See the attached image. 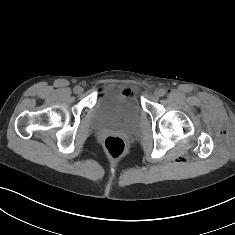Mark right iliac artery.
Masks as SVG:
<instances>
[{"mask_svg": "<svg viewBox=\"0 0 235 235\" xmlns=\"http://www.w3.org/2000/svg\"><path fill=\"white\" fill-rule=\"evenodd\" d=\"M78 87H79V86H75V87H74V92H75V93H76Z\"/></svg>", "mask_w": 235, "mask_h": 235, "instance_id": "obj_1", "label": "right iliac artery"}]
</instances>
